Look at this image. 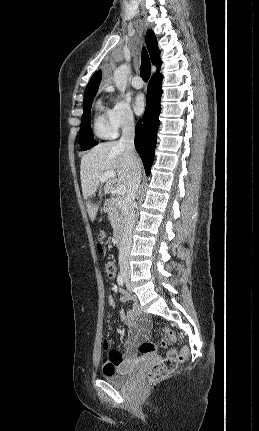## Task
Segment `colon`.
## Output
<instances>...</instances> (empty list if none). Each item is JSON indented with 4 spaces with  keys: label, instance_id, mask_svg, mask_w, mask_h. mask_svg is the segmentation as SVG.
Instances as JSON below:
<instances>
[{
    "label": "colon",
    "instance_id": "colon-1",
    "mask_svg": "<svg viewBox=\"0 0 259 431\" xmlns=\"http://www.w3.org/2000/svg\"><path fill=\"white\" fill-rule=\"evenodd\" d=\"M99 239V250H102V245L106 243V233L100 232L98 234ZM105 272L107 276L110 279H113L115 277L116 273V266L114 262L107 261L105 263ZM178 340V337L176 334L169 328L163 329V339L161 342L162 348H167L168 345ZM158 346L151 342H144L140 345L139 350L143 354H149L154 353L158 350ZM104 349L106 351L109 350L108 343H104ZM189 354V350L186 346H184L175 356H167L163 360H161L159 363L152 366L147 372H146V380L148 382H157L164 378H166L168 375H170L177 367L179 363H182L186 360L187 356Z\"/></svg>",
    "mask_w": 259,
    "mask_h": 431
}]
</instances>
